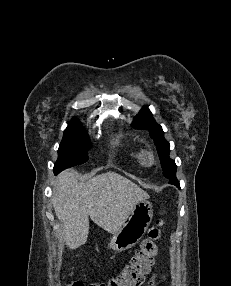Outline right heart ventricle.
<instances>
[{
  "instance_id": "obj_1",
  "label": "right heart ventricle",
  "mask_w": 231,
  "mask_h": 286,
  "mask_svg": "<svg viewBox=\"0 0 231 286\" xmlns=\"http://www.w3.org/2000/svg\"><path fill=\"white\" fill-rule=\"evenodd\" d=\"M143 155H144V152L141 149L132 148L129 150L130 158L137 163L143 164Z\"/></svg>"
}]
</instances>
